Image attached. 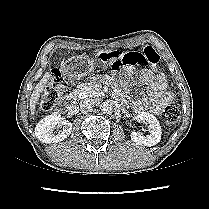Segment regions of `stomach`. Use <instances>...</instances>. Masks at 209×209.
Masks as SVG:
<instances>
[{
  "label": "stomach",
  "mask_w": 209,
  "mask_h": 209,
  "mask_svg": "<svg viewBox=\"0 0 209 209\" xmlns=\"http://www.w3.org/2000/svg\"><path fill=\"white\" fill-rule=\"evenodd\" d=\"M98 66V60L94 56H75L64 62L62 71L69 78L88 77L98 69Z\"/></svg>",
  "instance_id": "obj_1"
}]
</instances>
